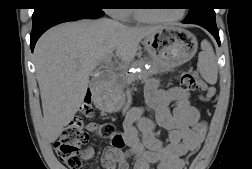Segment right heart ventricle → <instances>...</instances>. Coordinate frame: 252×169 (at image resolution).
Listing matches in <instances>:
<instances>
[{
    "label": "right heart ventricle",
    "mask_w": 252,
    "mask_h": 169,
    "mask_svg": "<svg viewBox=\"0 0 252 169\" xmlns=\"http://www.w3.org/2000/svg\"><path fill=\"white\" fill-rule=\"evenodd\" d=\"M128 17H132V12L131 11L128 12Z\"/></svg>",
    "instance_id": "e07e8e85"
}]
</instances>
